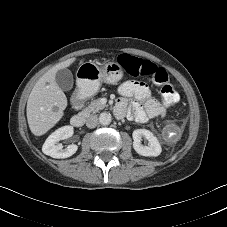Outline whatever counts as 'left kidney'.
<instances>
[{"label":"left kidney","instance_id":"left-kidney-1","mask_svg":"<svg viewBox=\"0 0 227 227\" xmlns=\"http://www.w3.org/2000/svg\"><path fill=\"white\" fill-rule=\"evenodd\" d=\"M132 137L134 140L133 148L138 154L149 157H156L161 154V145L151 131L146 129H136L133 131ZM142 137L148 140V146L141 144Z\"/></svg>","mask_w":227,"mask_h":227}]
</instances>
